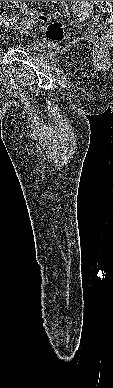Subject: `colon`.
Masks as SVG:
<instances>
[{"label": "colon", "instance_id": "colon-1", "mask_svg": "<svg viewBox=\"0 0 113 388\" xmlns=\"http://www.w3.org/2000/svg\"><path fill=\"white\" fill-rule=\"evenodd\" d=\"M33 16L42 22H47L48 17L44 14H33ZM19 17L6 14L0 3V25L4 27H13L19 22ZM65 35L64 25L58 20H52L46 29V36L55 42L63 40Z\"/></svg>", "mask_w": 113, "mask_h": 388}]
</instances>
